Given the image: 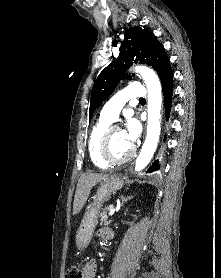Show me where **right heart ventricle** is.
<instances>
[{"label":"right heart ventricle","instance_id":"1","mask_svg":"<svg viewBox=\"0 0 221 278\" xmlns=\"http://www.w3.org/2000/svg\"><path fill=\"white\" fill-rule=\"evenodd\" d=\"M111 121L100 117L96 124L93 126L88 138V152L92 163L99 168H107L106 164L99 156V143L101 136L105 130L110 126Z\"/></svg>","mask_w":221,"mask_h":278}]
</instances>
